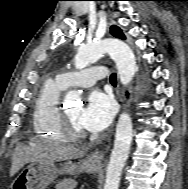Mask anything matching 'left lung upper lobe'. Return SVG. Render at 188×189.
<instances>
[{"label":"left lung upper lobe","instance_id":"1","mask_svg":"<svg viewBox=\"0 0 188 189\" xmlns=\"http://www.w3.org/2000/svg\"><path fill=\"white\" fill-rule=\"evenodd\" d=\"M111 34L117 38L125 39L124 34L122 33L121 29L117 26H112L110 28Z\"/></svg>","mask_w":188,"mask_h":189}]
</instances>
